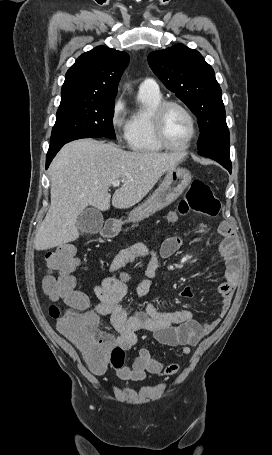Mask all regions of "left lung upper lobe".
Here are the masks:
<instances>
[{
    "label": "left lung upper lobe",
    "mask_w": 272,
    "mask_h": 455,
    "mask_svg": "<svg viewBox=\"0 0 272 455\" xmlns=\"http://www.w3.org/2000/svg\"><path fill=\"white\" fill-rule=\"evenodd\" d=\"M153 72L197 116L198 150L230 143L222 91L212 67L196 50L177 44L149 54Z\"/></svg>",
    "instance_id": "obj_1"
}]
</instances>
